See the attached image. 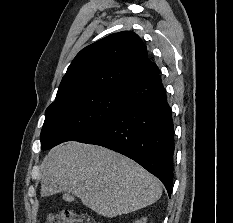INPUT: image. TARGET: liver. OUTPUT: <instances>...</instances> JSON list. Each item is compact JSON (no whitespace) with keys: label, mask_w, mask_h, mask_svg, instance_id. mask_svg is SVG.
<instances>
[{"label":"liver","mask_w":233,"mask_h":223,"mask_svg":"<svg viewBox=\"0 0 233 223\" xmlns=\"http://www.w3.org/2000/svg\"><path fill=\"white\" fill-rule=\"evenodd\" d=\"M40 171L42 197L69 191L104 217L141 209L162 195L157 177L133 159L101 145L61 143L45 155Z\"/></svg>","instance_id":"obj_1"}]
</instances>
